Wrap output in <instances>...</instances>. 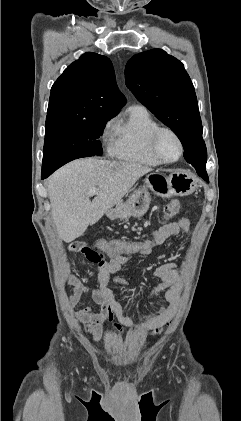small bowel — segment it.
I'll list each match as a JSON object with an SVG mask.
<instances>
[{
    "instance_id": "small-bowel-1",
    "label": "small bowel",
    "mask_w": 241,
    "mask_h": 421,
    "mask_svg": "<svg viewBox=\"0 0 241 421\" xmlns=\"http://www.w3.org/2000/svg\"><path fill=\"white\" fill-rule=\"evenodd\" d=\"M183 231H190V221L186 217L151 231L148 239L157 240L161 244L171 236L178 235ZM69 250L72 251L70 247ZM150 253L143 254V256H148ZM126 263L125 255H115L111 256L109 261L99 265L96 288L89 287L77 277L69 276L67 278L66 283L73 287V293L68 301L70 307H74L80 297L88 292H91L93 301L100 306L98 313H93L90 307H85L74 314L76 321L95 341L101 338L102 327L105 322L110 323L119 333L124 332L125 328H138L157 334L169 325L176 312L181 282L178 273L175 271V264L168 262L156 268L154 275L161 281L148 295L149 298H156L164 293L167 305L160 307L151 314L126 315L123 305L116 298L115 291L109 288V285L113 284L117 289L127 290V282L124 279L113 277L114 274L123 269Z\"/></svg>"
}]
</instances>
